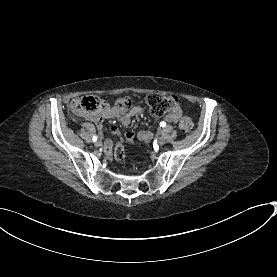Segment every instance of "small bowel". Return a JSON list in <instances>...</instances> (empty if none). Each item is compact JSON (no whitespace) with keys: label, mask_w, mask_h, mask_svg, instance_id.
I'll list each match as a JSON object with an SVG mask.
<instances>
[{"label":"small bowel","mask_w":277,"mask_h":277,"mask_svg":"<svg viewBox=\"0 0 277 277\" xmlns=\"http://www.w3.org/2000/svg\"><path fill=\"white\" fill-rule=\"evenodd\" d=\"M77 103H78V99H73V101L71 103V108L73 109ZM101 104L102 105H101V108L99 111H97L95 113H87V114L83 115L85 120L93 122L97 125L100 133H102L104 130L103 122L106 119H116L123 126H128L133 117L140 116L144 113V108L141 106H135L126 113H120L116 107L110 105L106 101H102ZM180 117H181V111L177 107L174 111L170 112L169 114H167L165 116V121L168 123H176V122H178ZM111 132L114 135H119V131L116 127H113L111 129ZM125 132H126L125 137L127 139H130L134 136L133 129L131 127H127L125 129ZM152 136H153V134L151 131H141L138 133V138L144 142L150 141L152 139ZM103 141H104L103 149H104V154H105L106 158H108V159L114 158L115 153L112 149L113 148L112 138L105 136L103 138ZM126 143L133 144V140H130V141L126 140Z\"/></svg>","instance_id":"small-bowel-1"}]
</instances>
